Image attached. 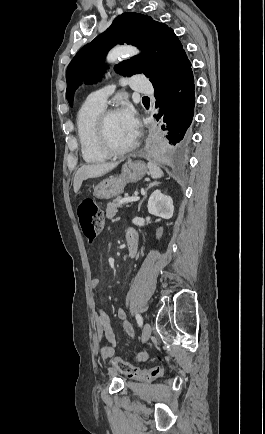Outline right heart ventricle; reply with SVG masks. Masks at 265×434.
Returning <instances> with one entry per match:
<instances>
[{
    "label": "right heart ventricle",
    "mask_w": 265,
    "mask_h": 434,
    "mask_svg": "<svg viewBox=\"0 0 265 434\" xmlns=\"http://www.w3.org/2000/svg\"><path fill=\"white\" fill-rule=\"evenodd\" d=\"M105 110L104 103H92L87 98L76 114V129L79 148L83 161L90 165H99L108 160L99 142L98 120Z\"/></svg>",
    "instance_id": "1"
}]
</instances>
